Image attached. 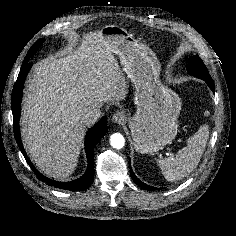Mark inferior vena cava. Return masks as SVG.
<instances>
[{
	"label": "inferior vena cava",
	"mask_w": 236,
	"mask_h": 236,
	"mask_svg": "<svg viewBox=\"0 0 236 236\" xmlns=\"http://www.w3.org/2000/svg\"><path fill=\"white\" fill-rule=\"evenodd\" d=\"M101 110L96 106H89L84 109L82 114V121L86 125L94 124L100 118Z\"/></svg>",
	"instance_id": "inferior-vena-cava-1"
}]
</instances>
